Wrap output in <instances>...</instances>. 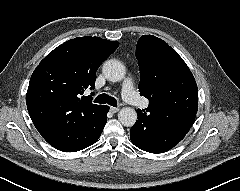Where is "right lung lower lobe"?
<instances>
[{"label": "right lung lower lobe", "mask_w": 240, "mask_h": 191, "mask_svg": "<svg viewBox=\"0 0 240 191\" xmlns=\"http://www.w3.org/2000/svg\"><path fill=\"white\" fill-rule=\"evenodd\" d=\"M108 106L79 121L57 120L39 129L42 137L63 152H76L94 144L107 121Z\"/></svg>", "instance_id": "right-lung-lower-lobe-1"}]
</instances>
